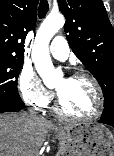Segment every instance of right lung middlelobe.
<instances>
[{
  "label": "right lung middle lobe",
  "mask_w": 114,
  "mask_h": 156,
  "mask_svg": "<svg viewBox=\"0 0 114 156\" xmlns=\"http://www.w3.org/2000/svg\"><path fill=\"white\" fill-rule=\"evenodd\" d=\"M24 58L0 57V103L24 104L18 94L17 79Z\"/></svg>",
  "instance_id": "1"
}]
</instances>
